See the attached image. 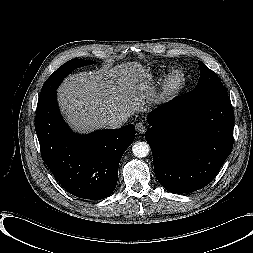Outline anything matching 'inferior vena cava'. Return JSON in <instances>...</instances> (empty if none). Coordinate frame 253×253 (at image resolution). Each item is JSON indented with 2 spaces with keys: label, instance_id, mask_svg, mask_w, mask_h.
Instances as JSON below:
<instances>
[{
  "label": "inferior vena cava",
  "instance_id": "1",
  "mask_svg": "<svg viewBox=\"0 0 253 253\" xmlns=\"http://www.w3.org/2000/svg\"><path fill=\"white\" fill-rule=\"evenodd\" d=\"M126 121H127V118L123 116L111 117L107 120L106 125L108 128L117 129V128H120L122 124Z\"/></svg>",
  "mask_w": 253,
  "mask_h": 253
}]
</instances>
